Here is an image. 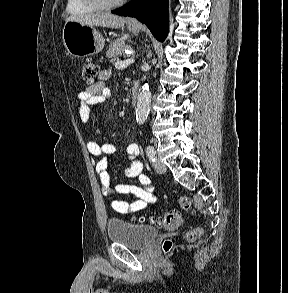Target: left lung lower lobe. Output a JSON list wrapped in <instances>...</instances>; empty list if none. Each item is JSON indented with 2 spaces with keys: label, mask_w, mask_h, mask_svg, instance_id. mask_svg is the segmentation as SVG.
I'll return each instance as SVG.
<instances>
[{
  "label": "left lung lower lobe",
  "mask_w": 288,
  "mask_h": 293,
  "mask_svg": "<svg viewBox=\"0 0 288 293\" xmlns=\"http://www.w3.org/2000/svg\"><path fill=\"white\" fill-rule=\"evenodd\" d=\"M168 0H132L128 4L113 10L121 16L137 18L147 25L151 33L161 42L167 35Z\"/></svg>",
  "instance_id": "left-lung-lower-lobe-1"
}]
</instances>
